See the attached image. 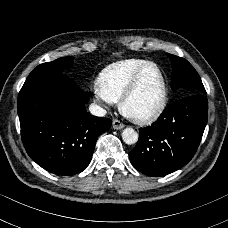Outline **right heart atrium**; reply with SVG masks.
Segmentation results:
<instances>
[{
    "label": "right heart atrium",
    "mask_w": 228,
    "mask_h": 228,
    "mask_svg": "<svg viewBox=\"0 0 228 228\" xmlns=\"http://www.w3.org/2000/svg\"><path fill=\"white\" fill-rule=\"evenodd\" d=\"M95 99L98 102L104 104L105 106H109L112 104V102L110 100L106 99L105 97H103L97 89L95 90Z\"/></svg>",
    "instance_id": "d8ad5b80"
}]
</instances>
